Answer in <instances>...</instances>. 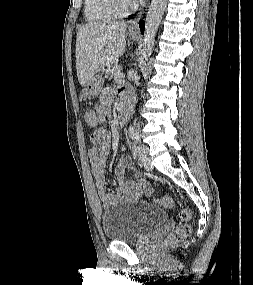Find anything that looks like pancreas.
Masks as SVG:
<instances>
[{
	"mask_svg": "<svg viewBox=\"0 0 253 285\" xmlns=\"http://www.w3.org/2000/svg\"><path fill=\"white\" fill-rule=\"evenodd\" d=\"M122 70L121 66L118 65L117 63L113 62L109 64L105 70V77L111 79L115 74L120 72Z\"/></svg>",
	"mask_w": 253,
	"mask_h": 285,
	"instance_id": "cf45deb5",
	"label": "pancreas"
}]
</instances>
